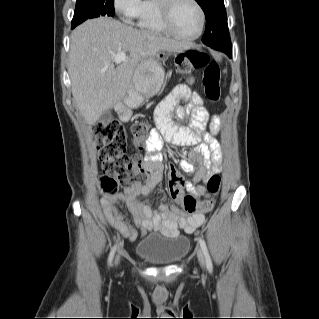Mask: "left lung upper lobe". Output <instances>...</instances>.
Masks as SVG:
<instances>
[{
  "instance_id": "5c2ea615",
  "label": "left lung upper lobe",
  "mask_w": 319,
  "mask_h": 319,
  "mask_svg": "<svg viewBox=\"0 0 319 319\" xmlns=\"http://www.w3.org/2000/svg\"><path fill=\"white\" fill-rule=\"evenodd\" d=\"M206 16V29L202 42L219 51L231 46L227 15L223 0H196Z\"/></svg>"
}]
</instances>
